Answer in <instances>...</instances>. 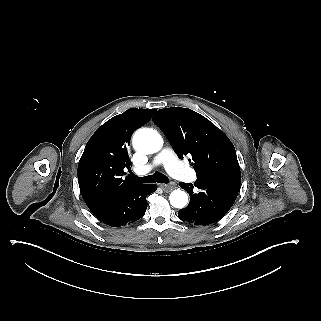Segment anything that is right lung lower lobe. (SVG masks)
<instances>
[{
	"instance_id": "1",
	"label": "right lung lower lobe",
	"mask_w": 321,
	"mask_h": 321,
	"mask_svg": "<svg viewBox=\"0 0 321 321\" xmlns=\"http://www.w3.org/2000/svg\"><path fill=\"white\" fill-rule=\"evenodd\" d=\"M157 185L139 184L112 197L102 198L87 204L90 211L103 223L119 227L139 220L147 209L146 197Z\"/></svg>"
}]
</instances>
